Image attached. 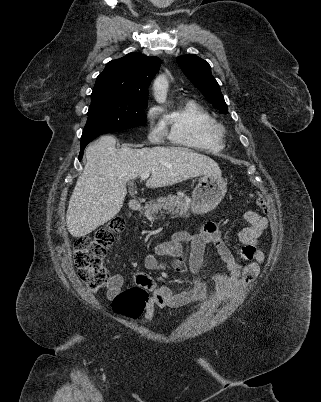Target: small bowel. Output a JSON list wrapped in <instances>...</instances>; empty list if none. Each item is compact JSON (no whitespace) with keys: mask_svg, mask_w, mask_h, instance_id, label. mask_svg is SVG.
Segmentation results:
<instances>
[{"mask_svg":"<svg viewBox=\"0 0 321 402\" xmlns=\"http://www.w3.org/2000/svg\"><path fill=\"white\" fill-rule=\"evenodd\" d=\"M247 223L239 234L242 243L239 257L246 261L241 264L238 258L230 251L224 242L218 226L214 223H207L202 229L196 232L179 231L174 233L170 240L161 241L154 245L152 252L144 258V266L148 270H160L164 268L158 260L162 256H173V268L182 271L188 267L193 274V286L182 292L175 293L166 285H157L146 273L136 272L135 280L151 293V297L144 313V320L151 322L155 315L156 308H167L177 310L187 305L203 303L208 295V287L201 279V271L207 258V247L215 249L220 260L225 264L227 272L213 276L215 284V295L219 302L226 303L230 299L238 297L241 292L251 284L259 275L261 265L264 262V253L259 248V239L268 227L266 217L255 211L245 214ZM188 244L190 250L184 253L183 245ZM124 278L120 274H114L108 284L107 297L115 298L121 291Z\"/></svg>","mask_w":321,"mask_h":402,"instance_id":"small-bowel-1","label":"small bowel"}]
</instances>
